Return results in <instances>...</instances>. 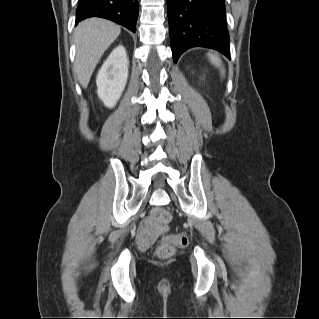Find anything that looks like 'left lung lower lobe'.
<instances>
[{"label":"left lung lower lobe","instance_id":"left-lung-lower-lobe-1","mask_svg":"<svg viewBox=\"0 0 319 319\" xmlns=\"http://www.w3.org/2000/svg\"><path fill=\"white\" fill-rule=\"evenodd\" d=\"M167 10L175 63L192 47L211 48L230 58L224 0H167Z\"/></svg>","mask_w":319,"mask_h":319}]
</instances>
